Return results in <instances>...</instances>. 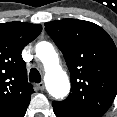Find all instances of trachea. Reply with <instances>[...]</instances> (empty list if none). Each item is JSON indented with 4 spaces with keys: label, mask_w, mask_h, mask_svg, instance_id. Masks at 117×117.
<instances>
[{
    "label": "trachea",
    "mask_w": 117,
    "mask_h": 117,
    "mask_svg": "<svg viewBox=\"0 0 117 117\" xmlns=\"http://www.w3.org/2000/svg\"><path fill=\"white\" fill-rule=\"evenodd\" d=\"M30 82L40 83L41 75L36 68H32L29 73Z\"/></svg>",
    "instance_id": "1"
}]
</instances>
